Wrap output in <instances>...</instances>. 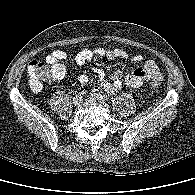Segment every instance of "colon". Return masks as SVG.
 <instances>
[{"instance_id": "colon-1", "label": "colon", "mask_w": 195, "mask_h": 195, "mask_svg": "<svg viewBox=\"0 0 195 195\" xmlns=\"http://www.w3.org/2000/svg\"><path fill=\"white\" fill-rule=\"evenodd\" d=\"M65 68L58 62H50L46 60H33L28 66V76L30 86L34 90H38L49 80H58L63 77ZM162 78L153 79L151 86L153 88L160 87Z\"/></svg>"}]
</instances>
